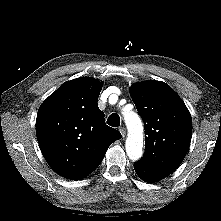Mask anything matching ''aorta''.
Segmentation results:
<instances>
[{
	"label": "aorta",
	"mask_w": 221,
	"mask_h": 221,
	"mask_svg": "<svg viewBox=\"0 0 221 221\" xmlns=\"http://www.w3.org/2000/svg\"><path fill=\"white\" fill-rule=\"evenodd\" d=\"M125 123L128 129V137L126 139V153L128 157L137 161L143 154V126L140 117L134 112L124 113Z\"/></svg>",
	"instance_id": "obj_1"
}]
</instances>
